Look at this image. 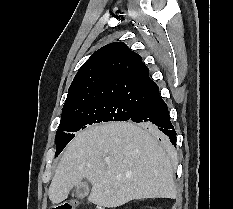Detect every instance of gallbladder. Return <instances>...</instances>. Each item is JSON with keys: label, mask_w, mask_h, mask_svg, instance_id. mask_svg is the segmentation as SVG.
Here are the masks:
<instances>
[{"label": "gallbladder", "mask_w": 233, "mask_h": 209, "mask_svg": "<svg viewBox=\"0 0 233 209\" xmlns=\"http://www.w3.org/2000/svg\"><path fill=\"white\" fill-rule=\"evenodd\" d=\"M88 193V184L86 182H82L74 188V190L72 191V197L83 199L88 195Z\"/></svg>", "instance_id": "obj_1"}]
</instances>
